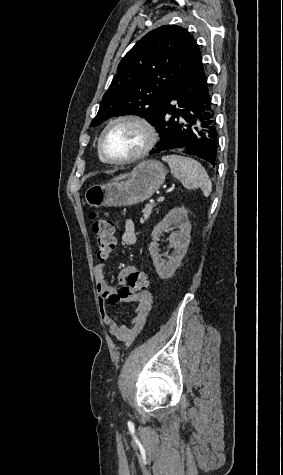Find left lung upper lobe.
Listing matches in <instances>:
<instances>
[{"mask_svg":"<svg viewBox=\"0 0 283 475\" xmlns=\"http://www.w3.org/2000/svg\"><path fill=\"white\" fill-rule=\"evenodd\" d=\"M200 66L199 47L186 29L164 25L150 31L119 63L90 126L126 114L139 115L153 124L169 90Z\"/></svg>","mask_w":283,"mask_h":475,"instance_id":"obj_1","label":"left lung upper lobe"}]
</instances>
